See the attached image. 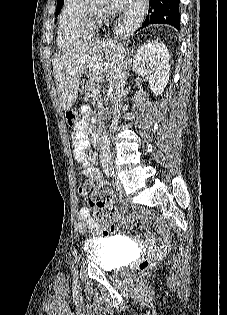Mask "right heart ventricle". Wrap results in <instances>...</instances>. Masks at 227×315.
Listing matches in <instances>:
<instances>
[{"mask_svg": "<svg viewBox=\"0 0 227 315\" xmlns=\"http://www.w3.org/2000/svg\"><path fill=\"white\" fill-rule=\"evenodd\" d=\"M84 0H64L58 17L57 44L68 49L91 39L96 27H85L81 23Z\"/></svg>", "mask_w": 227, "mask_h": 315, "instance_id": "e07e8e85", "label": "right heart ventricle"}]
</instances>
